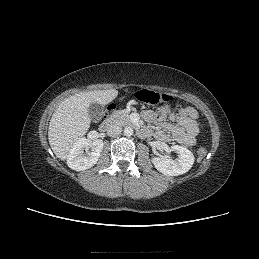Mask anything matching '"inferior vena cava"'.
<instances>
[{"label": "inferior vena cava", "instance_id": "obj_1", "mask_svg": "<svg viewBox=\"0 0 259 259\" xmlns=\"http://www.w3.org/2000/svg\"><path fill=\"white\" fill-rule=\"evenodd\" d=\"M122 132V127L119 124H110L107 128V134L111 137H116Z\"/></svg>", "mask_w": 259, "mask_h": 259}]
</instances>
